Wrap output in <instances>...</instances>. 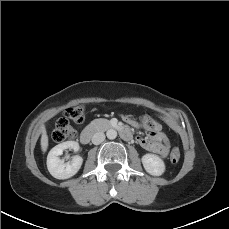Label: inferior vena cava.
<instances>
[{"label":"inferior vena cava","instance_id":"inferior-vena-cava-1","mask_svg":"<svg viewBox=\"0 0 229 229\" xmlns=\"http://www.w3.org/2000/svg\"><path fill=\"white\" fill-rule=\"evenodd\" d=\"M104 140H105V134L103 132H96L92 136V143L94 145H98V144L102 143Z\"/></svg>","mask_w":229,"mask_h":229}]
</instances>
